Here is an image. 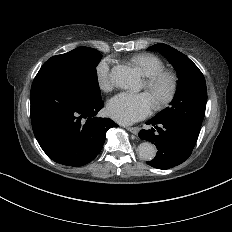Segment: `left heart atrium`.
I'll return each mask as SVG.
<instances>
[{
    "mask_svg": "<svg viewBox=\"0 0 232 232\" xmlns=\"http://www.w3.org/2000/svg\"><path fill=\"white\" fill-rule=\"evenodd\" d=\"M154 103L148 93H121L107 103V114L119 123L128 125L147 117Z\"/></svg>",
    "mask_w": 232,
    "mask_h": 232,
    "instance_id": "left-heart-atrium-1",
    "label": "left heart atrium"
}]
</instances>
